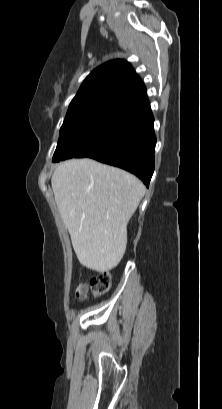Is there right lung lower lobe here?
<instances>
[{"instance_id":"right-lung-lower-lobe-1","label":"right lung lower lobe","mask_w":222,"mask_h":409,"mask_svg":"<svg viewBox=\"0 0 222 409\" xmlns=\"http://www.w3.org/2000/svg\"><path fill=\"white\" fill-rule=\"evenodd\" d=\"M149 102L124 110L100 146L85 157L125 169L148 187L154 172L156 137Z\"/></svg>"}]
</instances>
